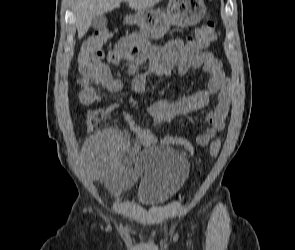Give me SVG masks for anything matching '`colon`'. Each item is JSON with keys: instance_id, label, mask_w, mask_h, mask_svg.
<instances>
[{"instance_id": "colon-1", "label": "colon", "mask_w": 295, "mask_h": 250, "mask_svg": "<svg viewBox=\"0 0 295 250\" xmlns=\"http://www.w3.org/2000/svg\"><path fill=\"white\" fill-rule=\"evenodd\" d=\"M217 36L216 24L213 19L207 20L196 31V42L201 46L208 45ZM111 38V32L107 29H98L82 45L78 63L80 70L90 71L95 53ZM106 111L101 109L89 110L86 114V124L89 129H94L106 116ZM221 148L220 139H214L209 146V154L212 157L218 155Z\"/></svg>"}]
</instances>
